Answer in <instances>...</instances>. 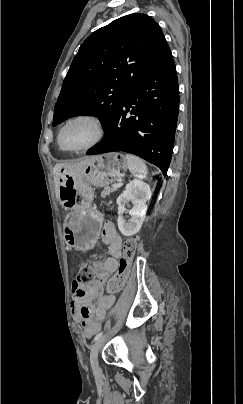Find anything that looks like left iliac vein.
<instances>
[{
  "label": "left iliac vein",
  "instance_id": "left-iliac-vein-1",
  "mask_svg": "<svg viewBox=\"0 0 243 404\" xmlns=\"http://www.w3.org/2000/svg\"><path fill=\"white\" fill-rule=\"evenodd\" d=\"M108 334L101 336L95 343L92 345L91 353H90V363L93 371L97 373L99 371V364H98V352L102 345L105 343Z\"/></svg>",
  "mask_w": 243,
  "mask_h": 404
}]
</instances>
